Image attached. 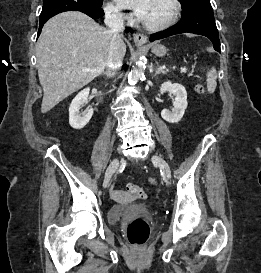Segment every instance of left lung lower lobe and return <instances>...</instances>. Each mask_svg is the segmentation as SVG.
Masks as SVG:
<instances>
[{"mask_svg": "<svg viewBox=\"0 0 261 273\" xmlns=\"http://www.w3.org/2000/svg\"><path fill=\"white\" fill-rule=\"evenodd\" d=\"M182 19L167 30L152 34L150 41L180 33H194L209 38L214 49L221 52L218 30L215 24L213 9L209 0H198L182 8Z\"/></svg>", "mask_w": 261, "mask_h": 273, "instance_id": "obj_1", "label": "left lung lower lobe"}]
</instances>
